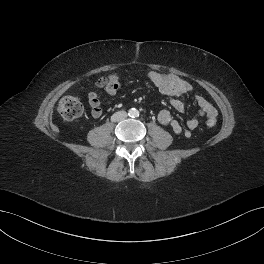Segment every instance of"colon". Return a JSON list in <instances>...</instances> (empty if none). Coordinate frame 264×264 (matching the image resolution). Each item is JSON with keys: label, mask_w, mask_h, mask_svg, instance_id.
Segmentation results:
<instances>
[{"label": "colon", "mask_w": 264, "mask_h": 264, "mask_svg": "<svg viewBox=\"0 0 264 264\" xmlns=\"http://www.w3.org/2000/svg\"><path fill=\"white\" fill-rule=\"evenodd\" d=\"M120 87V81L117 75L112 74L107 80V89L111 92H115ZM59 113L66 121H73L79 118L83 113V107L81 102L73 96H65L59 102ZM208 127H214L216 125V119L210 118L206 122Z\"/></svg>", "instance_id": "5ec220e1"}]
</instances>
